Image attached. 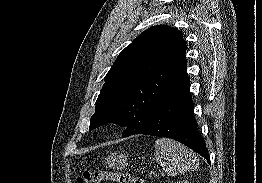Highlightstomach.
Returning a JSON list of instances; mask_svg holds the SVG:
<instances>
[{
  "mask_svg": "<svg viewBox=\"0 0 262 183\" xmlns=\"http://www.w3.org/2000/svg\"><path fill=\"white\" fill-rule=\"evenodd\" d=\"M128 156L122 153H111L105 160L110 168L122 170L128 165Z\"/></svg>",
  "mask_w": 262,
  "mask_h": 183,
  "instance_id": "0dacf381",
  "label": "stomach"
}]
</instances>
